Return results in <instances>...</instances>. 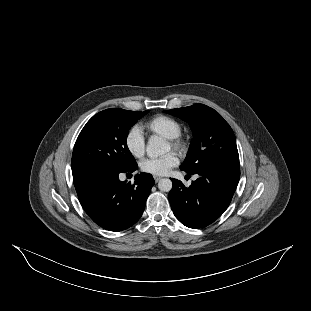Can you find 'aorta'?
<instances>
[{
  "instance_id": "obj_1",
  "label": "aorta",
  "mask_w": 311,
  "mask_h": 311,
  "mask_svg": "<svg viewBox=\"0 0 311 311\" xmlns=\"http://www.w3.org/2000/svg\"><path fill=\"white\" fill-rule=\"evenodd\" d=\"M169 150V144L165 143L161 137L157 135H152L148 139L146 145V152L151 158H156L158 156L164 155L169 152ZM158 188L163 192H169L172 189V181L168 178H164L158 183Z\"/></svg>"
}]
</instances>
